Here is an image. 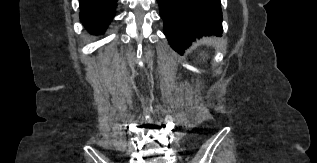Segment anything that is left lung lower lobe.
<instances>
[{
    "instance_id": "1",
    "label": "left lung lower lobe",
    "mask_w": 317,
    "mask_h": 163,
    "mask_svg": "<svg viewBox=\"0 0 317 163\" xmlns=\"http://www.w3.org/2000/svg\"><path fill=\"white\" fill-rule=\"evenodd\" d=\"M164 20V34L178 53L187 49L196 38L221 36L220 0H157Z\"/></svg>"
}]
</instances>
